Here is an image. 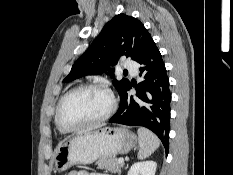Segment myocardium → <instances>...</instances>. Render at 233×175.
I'll return each mask as SVG.
<instances>
[{"label": "myocardium", "mask_w": 233, "mask_h": 175, "mask_svg": "<svg viewBox=\"0 0 233 175\" xmlns=\"http://www.w3.org/2000/svg\"><path fill=\"white\" fill-rule=\"evenodd\" d=\"M87 89H97V90H101L103 92H105L109 99H110V106L108 108V110L99 118L82 123L80 125L77 126H66L62 123L61 121V109L62 106L64 104V102L73 94H75L76 92H79L81 90H87ZM117 107V102L115 99V96L113 95V93L110 91V89H108L105 85L100 84V83H87V84H82L79 85L77 87L72 88L71 90H69L59 101L57 108H56V113H55V123L56 126L58 127V129L62 132H74V131H78L93 125H97L100 124L104 121H106L107 119H109L112 114L115 112Z\"/></svg>", "instance_id": "obj_1"}]
</instances>
